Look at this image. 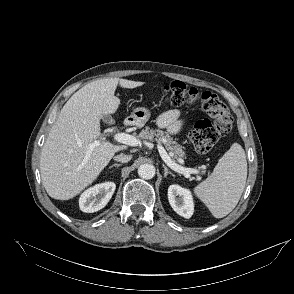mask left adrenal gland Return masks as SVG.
<instances>
[{
	"instance_id": "obj_1",
	"label": "left adrenal gland",
	"mask_w": 294,
	"mask_h": 294,
	"mask_svg": "<svg viewBox=\"0 0 294 294\" xmlns=\"http://www.w3.org/2000/svg\"><path fill=\"white\" fill-rule=\"evenodd\" d=\"M163 167H164V177H167L168 174L174 176V174L170 172L165 165H163Z\"/></svg>"
}]
</instances>
